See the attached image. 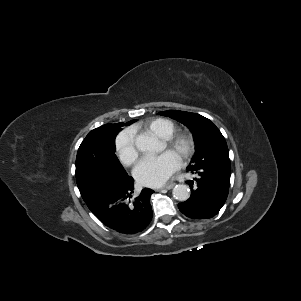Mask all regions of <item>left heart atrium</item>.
I'll return each instance as SVG.
<instances>
[{
  "label": "left heart atrium",
  "mask_w": 301,
  "mask_h": 301,
  "mask_svg": "<svg viewBox=\"0 0 301 301\" xmlns=\"http://www.w3.org/2000/svg\"><path fill=\"white\" fill-rule=\"evenodd\" d=\"M181 166L179 157L166 151L156 157L144 158L135 168L136 180L146 186H160Z\"/></svg>",
  "instance_id": "39dd6f15"
}]
</instances>
